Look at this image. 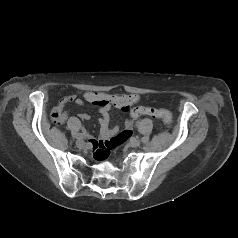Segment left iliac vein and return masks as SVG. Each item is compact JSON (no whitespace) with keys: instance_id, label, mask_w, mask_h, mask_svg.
<instances>
[{"instance_id":"obj_1","label":"left iliac vein","mask_w":238,"mask_h":238,"mask_svg":"<svg viewBox=\"0 0 238 238\" xmlns=\"http://www.w3.org/2000/svg\"><path fill=\"white\" fill-rule=\"evenodd\" d=\"M140 145V141L137 138H132L129 142L130 147H138Z\"/></svg>"}]
</instances>
